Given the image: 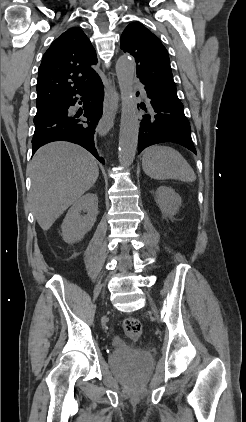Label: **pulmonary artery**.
<instances>
[{
  "label": "pulmonary artery",
  "mask_w": 246,
  "mask_h": 422,
  "mask_svg": "<svg viewBox=\"0 0 246 422\" xmlns=\"http://www.w3.org/2000/svg\"><path fill=\"white\" fill-rule=\"evenodd\" d=\"M134 85L137 89L140 90L141 94L143 97H146V91L143 88V85L138 81V80H134Z\"/></svg>",
  "instance_id": "1"
}]
</instances>
